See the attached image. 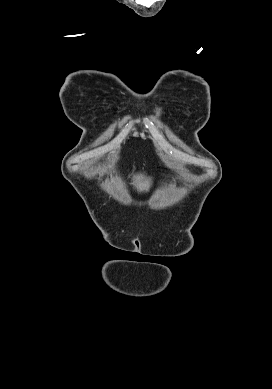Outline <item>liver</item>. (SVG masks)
<instances>
[{
	"label": "liver",
	"mask_w": 272,
	"mask_h": 389,
	"mask_svg": "<svg viewBox=\"0 0 272 389\" xmlns=\"http://www.w3.org/2000/svg\"><path fill=\"white\" fill-rule=\"evenodd\" d=\"M150 184L151 180L142 174L133 177V185L138 191H148Z\"/></svg>",
	"instance_id": "obj_1"
}]
</instances>
